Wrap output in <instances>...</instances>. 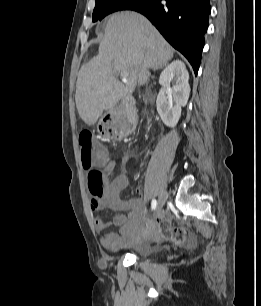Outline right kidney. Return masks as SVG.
I'll return each mask as SVG.
<instances>
[{
	"mask_svg": "<svg viewBox=\"0 0 261 306\" xmlns=\"http://www.w3.org/2000/svg\"><path fill=\"white\" fill-rule=\"evenodd\" d=\"M171 81L174 85L171 87ZM189 73L183 62L176 60L165 67L162 71L159 83L162 86L157 96V111L168 127H174L181 116V108L189 99ZM172 100L175 102L173 106Z\"/></svg>",
	"mask_w": 261,
	"mask_h": 306,
	"instance_id": "ca27d5eb",
	"label": "right kidney"
}]
</instances>
